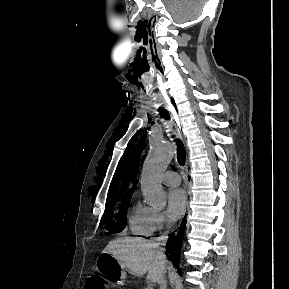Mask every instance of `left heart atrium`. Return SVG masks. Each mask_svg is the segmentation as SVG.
Returning a JSON list of instances; mask_svg holds the SVG:
<instances>
[{"label":"left heart atrium","mask_w":289,"mask_h":289,"mask_svg":"<svg viewBox=\"0 0 289 289\" xmlns=\"http://www.w3.org/2000/svg\"><path fill=\"white\" fill-rule=\"evenodd\" d=\"M187 196L183 189H173L167 195V215L171 220L180 218L186 209Z\"/></svg>","instance_id":"1"}]
</instances>
